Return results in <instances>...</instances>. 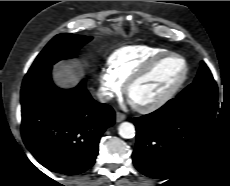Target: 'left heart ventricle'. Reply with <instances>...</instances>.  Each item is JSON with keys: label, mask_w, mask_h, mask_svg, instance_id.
Returning <instances> with one entry per match:
<instances>
[{"label": "left heart ventricle", "mask_w": 230, "mask_h": 186, "mask_svg": "<svg viewBox=\"0 0 230 186\" xmlns=\"http://www.w3.org/2000/svg\"><path fill=\"white\" fill-rule=\"evenodd\" d=\"M183 72V63L175 57L160 62L147 76L135 83L129 92L133 104L150 103L163 95Z\"/></svg>", "instance_id": "obj_1"}]
</instances>
